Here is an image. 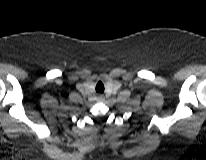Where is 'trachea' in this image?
I'll return each instance as SVG.
<instances>
[{"instance_id": "trachea-1", "label": "trachea", "mask_w": 206, "mask_h": 160, "mask_svg": "<svg viewBox=\"0 0 206 160\" xmlns=\"http://www.w3.org/2000/svg\"><path fill=\"white\" fill-rule=\"evenodd\" d=\"M104 85L101 81H99L96 85V92L97 93H104Z\"/></svg>"}]
</instances>
